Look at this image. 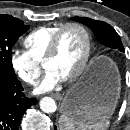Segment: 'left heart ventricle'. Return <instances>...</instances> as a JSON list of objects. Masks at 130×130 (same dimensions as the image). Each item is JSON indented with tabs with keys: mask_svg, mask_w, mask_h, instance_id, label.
Masks as SVG:
<instances>
[{
	"mask_svg": "<svg viewBox=\"0 0 130 130\" xmlns=\"http://www.w3.org/2000/svg\"><path fill=\"white\" fill-rule=\"evenodd\" d=\"M84 50V35L76 28H68L60 38L57 54L45 62L44 67L55 71L65 79L79 66Z\"/></svg>",
	"mask_w": 130,
	"mask_h": 130,
	"instance_id": "b2bd125f",
	"label": "left heart ventricle"
}]
</instances>
